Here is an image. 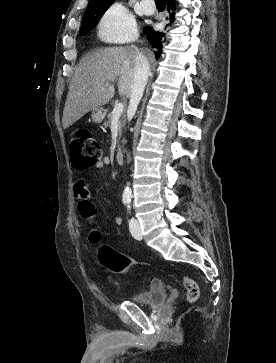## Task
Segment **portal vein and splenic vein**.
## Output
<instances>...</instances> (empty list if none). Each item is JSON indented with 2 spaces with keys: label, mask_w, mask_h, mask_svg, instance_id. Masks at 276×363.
Wrapping results in <instances>:
<instances>
[{
  "label": "portal vein and splenic vein",
  "mask_w": 276,
  "mask_h": 363,
  "mask_svg": "<svg viewBox=\"0 0 276 363\" xmlns=\"http://www.w3.org/2000/svg\"><path fill=\"white\" fill-rule=\"evenodd\" d=\"M109 84L107 83L106 86H108ZM124 110V105L122 103H118L115 105L114 109H113V119H118Z\"/></svg>",
  "instance_id": "obj_1"
}]
</instances>
